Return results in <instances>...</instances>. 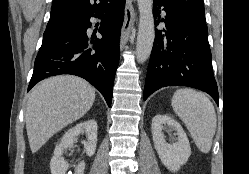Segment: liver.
Returning a JSON list of instances; mask_svg holds the SVG:
<instances>
[{"label": "liver", "mask_w": 249, "mask_h": 174, "mask_svg": "<svg viewBox=\"0 0 249 174\" xmlns=\"http://www.w3.org/2000/svg\"><path fill=\"white\" fill-rule=\"evenodd\" d=\"M94 88L74 75L50 77L36 86L26 106V130L32 153L54 134L83 117L95 101Z\"/></svg>", "instance_id": "liver-1"}]
</instances>
